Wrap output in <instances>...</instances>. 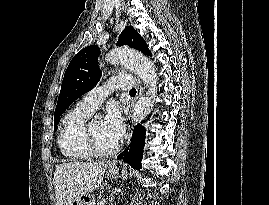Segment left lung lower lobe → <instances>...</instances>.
I'll use <instances>...</instances> for the list:
<instances>
[{
  "mask_svg": "<svg viewBox=\"0 0 269 205\" xmlns=\"http://www.w3.org/2000/svg\"><path fill=\"white\" fill-rule=\"evenodd\" d=\"M144 144L145 128L140 124H137L133 131L130 145L126 150H124L123 153L119 154L117 158L122 159L124 162L128 163L133 168L141 169V160Z\"/></svg>",
  "mask_w": 269,
  "mask_h": 205,
  "instance_id": "0a47b994",
  "label": "left lung lower lobe"
}]
</instances>
